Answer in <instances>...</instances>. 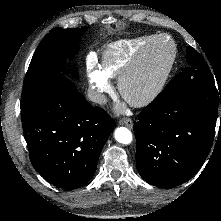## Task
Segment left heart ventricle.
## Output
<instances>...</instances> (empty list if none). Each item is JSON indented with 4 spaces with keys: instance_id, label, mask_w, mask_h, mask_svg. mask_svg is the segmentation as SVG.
<instances>
[{
    "instance_id": "b2bd125f",
    "label": "left heart ventricle",
    "mask_w": 221,
    "mask_h": 221,
    "mask_svg": "<svg viewBox=\"0 0 221 221\" xmlns=\"http://www.w3.org/2000/svg\"><path fill=\"white\" fill-rule=\"evenodd\" d=\"M170 53L168 42H159L149 59L146 69L138 80L130 87V94L138 96L148 90L159 76Z\"/></svg>"
}]
</instances>
